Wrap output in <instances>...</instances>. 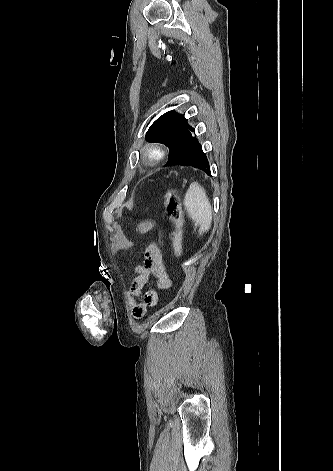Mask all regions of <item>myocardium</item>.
Wrapping results in <instances>:
<instances>
[{"label":"myocardium","mask_w":333,"mask_h":471,"mask_svg":"<svg viewBox=\"0 0 333 471\" xmlns=\"http://www.w3.org/2000/svg\"><path fill=\"white\" fill-rule=\"evenodd\" d=\"M161 158V152L156 147H150L147 150V159L150 161H158Z\"/></svg>","instance_id":"f54148a6"}]
</instances>
